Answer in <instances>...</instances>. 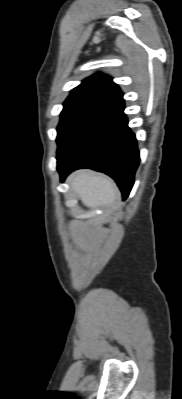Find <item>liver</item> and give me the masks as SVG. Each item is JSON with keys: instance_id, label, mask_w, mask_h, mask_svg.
Wrapping results in <instances>:
<instances>
[{"instance_id": "1", "label": "liver", "mask_w": 182, "mask_h": 399, "mask_svg": "<svg viewBox=\"0 0 182 399\" xmlns=\"http://www.w3.org/2000/svg\"><path fill=\"white\" fill-rule=\"evenodd\" d=\"M70 184L87 207H109L118 197L117 186L110 178L90 171L85 170L74 174Z\"/></svg>"}]
</instances>
